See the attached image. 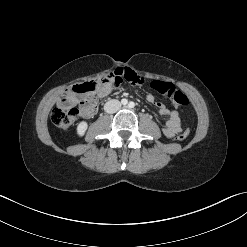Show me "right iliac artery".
Listing matches in <instances>:
<instances>
[{
    "instance_id": "1",
    "label": "right iliac artery",
    "mask_w": 247,
    "mask_h": 247,
    "mask_svg": "<svg viewBox=\"0 0 247 247\" xmlns=\"http://www.w3.org/2000/svg\"><path fill=\"white\" fill-rule=\"evenodd\" d=\"M121 103H122L123 105H126V104L128 103V100H127V99H122V100H121Z\"/></svg>"
}]
</instances>
